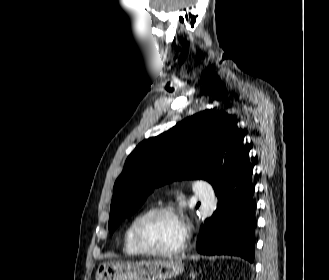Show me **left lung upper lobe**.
I'll use <instances>...</instances> for the list:
<instances>
[{
	"label": "left lung upper lobe",
	"mask_w": 329,
	"mask_h": 280,
	"mask_svg": "<svg viewBox=\"0 0 329 280\" xmlns=\"http://www.w3.org/2000/svg\"><path fill=\"white\" fill-rule=\"evenodd\" d=\"M245 148L237 122L208 109L141 142L127 158L113 188L109 232L136 212L153 187L175 179H204L224 186L240 167Z\"/></svg>",
	"instance_id": "1"
}]
</instances>
